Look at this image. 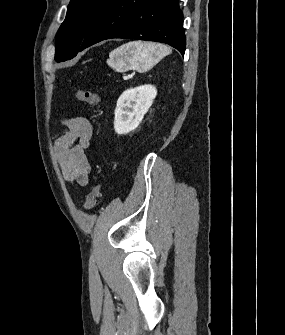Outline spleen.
<instances>
[{
	"label": "spleen",
	"mask_w": 285,
	"mask_h": 335,
	"mask_svg": "<svg viewBox=\"0 0 285 335\" xmlns=\"http://www.w3.org/2000/svg\"><path fill=\"white\" fill-rule=\"evenodd\" d=\"M172 50L163 44L153 42H128L110 54L115 70L129 66H137L136 70H150L164 56H169Z\"/></svg>",
	"instance_id": "1"
}]
</instances>
